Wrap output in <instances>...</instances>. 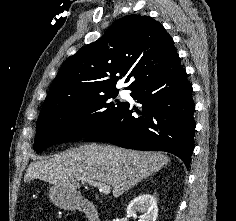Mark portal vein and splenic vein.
Returning <instances> with one entry per match:
<instances>
[{"label":"portal vein and splenic vein","instance_id":"1","mask_svg":"<svg viewBox=\"0 0 236 221\" xmlns=\"http://www.w3.org/2000/svg\"><path fill=\"white\" fill-rule=\"evenodd\" d=\"M77 180L81 181V182H86V183H88V184H90L94 187H98L104 195H108L111 191V187L109 185L103 184L101 182L90 180V179H87V178H84V177L77 178Z\"/></svg>","mask_w":236,"mask_h":221}]
</instances>
